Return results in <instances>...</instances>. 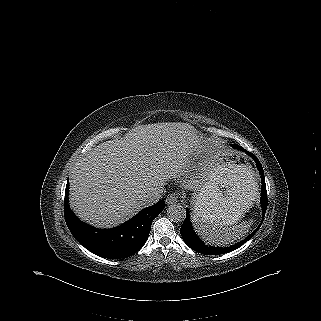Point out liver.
Instances as JSON below:
<instances>
[{
	"label": "liver",
	"instance_id": "1",
	"mask_svg": "<svg viewBox=\"0 0 321 321\" xmlns=\"http://www.w3.org/2000/svg\"><path fill=\"white\" fill-rule=\"evenodd\" d=\"M171 145L180 156L166 152ZM203 149V141L190 124L138 126L122 138L97 145L75 163L70 206L80 219L97 227L121 224L145 207V194L163 189L170 177L186 169L182 155L199 154Z\"/></svg>",
	"mask_w": 321,
	"mask_h": 321
}]
</instances>
